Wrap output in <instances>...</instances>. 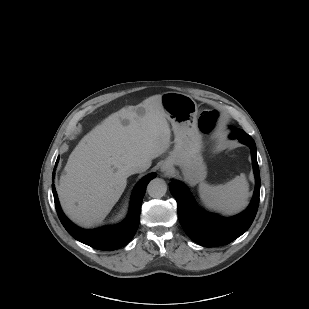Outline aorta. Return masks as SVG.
<instances>
[{"label":"aorta","instance_id":"762f6f07","mask_svg":"<svg viewBox=\"0 0 309 309\" xmlns=\"http://www.w3.org/2000/svg\"><path fill=\"white\" fill-rule=\"evenodd\" d=\"M167 191V184L163 179L155 178L147 186V192L150 197L161 198Z\"/></svg>","mask_w":309,"mask_h":309}]
</instances>
